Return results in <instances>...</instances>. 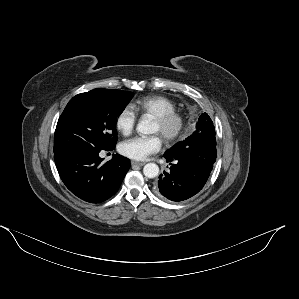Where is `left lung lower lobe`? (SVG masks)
<instances>
[{
    "label": "left lung lower lobe",
    "instance_id": "1",
    "mask_svg": "<svg viewBox=\"0 0 299 299\" xmlns=\"http://www.w3.org/2000/svg\"><path fill=\"white\" fill-rule=\"evenodd\" d=\"M209 154L210 150L200 145L164 156L170 162V170L159 176L155 185L156 194L175 202L197 194L208 180L216 161Z\"/></svg>",
    "mask_w": 299,
    "mask_h": 299
}]
</instances>
